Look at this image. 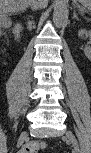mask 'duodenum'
I'll list each match as a JSON object with an SVG mask.
<instances>
[{"instance_id": "1", "label": "duodenum", "mask_w": 91, "mask_h": 153, "mask_svg": "<svg viewBox=\"0 0 91 153\" xmlns=\"http://www.w3.org/2000/svg\"><path fill=\"white\" fill-rule=\"evenodd\" d=\"M13 33L15 37L20 40L21 35H22V25L20 23L16 24L13 28Z\"/></svg>"}]
</instances>
